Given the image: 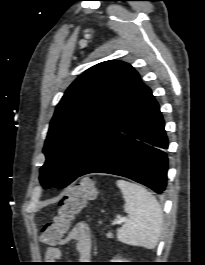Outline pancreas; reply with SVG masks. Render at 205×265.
I'll return each instance as SVG.
<instances>
[{"mask_svg": "<svg viewBox=\"0 0 205 265\" xmlns=\"http://www.w3.org/2000/svg\"><path fill=\"white\" fill-rule=\"evenodd\" d=\"M107 237H108V238H112V237H113L112 233L109 232V233L107 234Z\"/></svg>", "mask_w": 205, "mask_h": 265, "instance_id": "pancreas-1", "label": "pancreas"}]
</instances>
